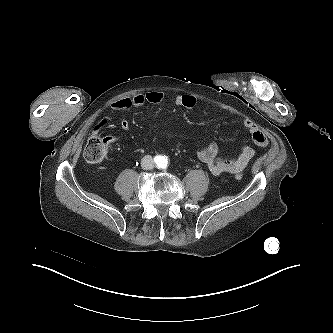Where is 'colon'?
<instances>
[{
	"label": "colon",
	"instance_id": "colon-1",
	"mask_svg": "<svg viewBox=\"0 0 333 333\" xmlns=\"http://www.w3.org/2000/svg\"><path fill=\"white\" fill-rule=\"evenodd\" d=\"M103 122L102 124H104ZM111 139L94 133L87 141L84 148V158L89 163H99L105 159L108 153ZM242 174H236L235 179L241 180Z\"/></svg>",
	"mask_w": 333,
	"mask_h": 333
}]
</instances>
